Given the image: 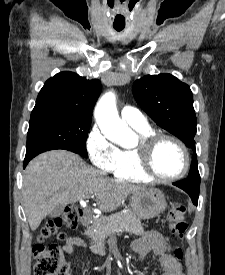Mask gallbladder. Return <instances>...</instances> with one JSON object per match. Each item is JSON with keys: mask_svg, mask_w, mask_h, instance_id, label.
I'll return each instance as SVG.
<instances>
[{"mask_svg": "<svg viewBox=\"0 0 225 275\" xmlns=\"http://www.w3.org/2000/svg\"><path fill=\"white\" fill-rule=\"evenodd\" d=\"M63 210H64V206L62 205H58L57 207H55L52 212L49 214L50 217H56L60 214L63 213Z\"/></svg>", "mask_w": 225, "mask_h": 275, "instance_id": "bac80fb5", "label": "gallbladder"}]
</instances>
